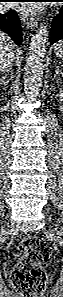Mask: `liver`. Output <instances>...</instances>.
Returning a JSON list of instances; mask_svg holds the SVG:
<instances>
[{
	"instance_id": "obj_1",
	"label": "liver",
	"mask_w": 63,
	"mask_h": 297,
	"mask_svg": "<svg viewBox=\"0 0 63 297\" xmlns=\"http://www.w3.org/2000/svg\"><path fill=\"white\" fill-rule=\"evenodd\" d=\"M14 44L9 36L5 33H0V57L9 51H13Z\"/></svg>"
}]
</instances>
